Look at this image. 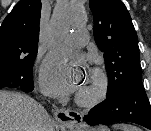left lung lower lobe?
Listing matches in <instances>:
<instances>
[{
    "instance_id": "0a47b994",
    "label": "left lung lower lobe",
    "mask_w": 151,
    "mask_h": 131,
    "mask_svg": "<svg viewBox=\"0 0 151 131\" xmlns=\"http://www.w3.org/2000/svg\"><path fill=\"white\" fill-rule=\"evenodd\" d=\"M84 121L89 125L132 122L151 130V105L142 81H132L93 107Z\"/></svg>"
}]
</instances>
